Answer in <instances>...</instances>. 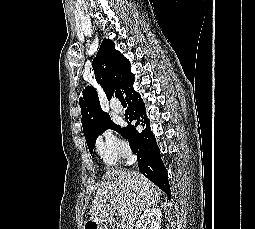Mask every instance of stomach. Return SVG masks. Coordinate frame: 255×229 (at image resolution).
I'll return each instance as SVG.
<instances>
[{"label":"stomach","instance_id":"obj_1","mask_svg":"<svg viewBox=\"0 0 255 229\" xmlns=\"http://www.w3.org/2000/svg\"><path fill=\"white\" fill-rule=\"evenodd\" d=\"M91 222H93V221H91ZM92 224L95 226V229H102V228L100 227V225L97 224L96 222H93Z\"/></svg>","mask_w":255,"mask_h":229}]
</instances>
